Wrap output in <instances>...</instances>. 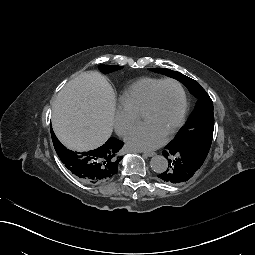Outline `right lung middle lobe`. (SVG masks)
Returning a JSON list of instances; mask_svg holds the SVG:
<instances>
[{
    "label": "right lung middle lobe",
    "mask_w": 255,
    "mask_h": 255,
    "mask_svg": "<svg viewBox=\"0 0 255 255\" xmlns=\"http://www.w3.org/2000/svg\"><path fill=\"white\" fill-rule=\"evenodd\" d=\"M122 66L117 65H100L99 70L105 74L121 69Z\"/></svg>",
    "instance_id": "dd1d6c3e"
}]
</instances>
